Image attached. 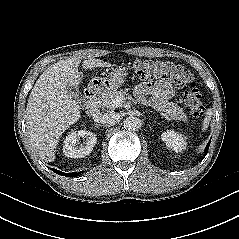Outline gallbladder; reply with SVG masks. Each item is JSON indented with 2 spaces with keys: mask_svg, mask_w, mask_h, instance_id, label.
Masks as SVG:
<instances>
[{
  "mask_svg": "<svg viewBox=\"0 0 239 239\" xmlns=\"http://www.w3.org/2000/svg\"><path fill=\"white\" fill-rule=\"evenodd\" d=\"M68 93L80 106L84 105V98L77 87H69Z\"/></svg>",
  "mask_w": 239,
  "mask_h": 239,
  "instance_id": "gallbladder-1",
  "label": "gallbladder"
}]
</instances>
